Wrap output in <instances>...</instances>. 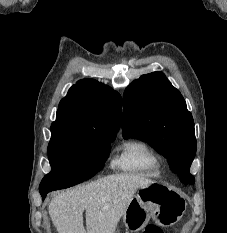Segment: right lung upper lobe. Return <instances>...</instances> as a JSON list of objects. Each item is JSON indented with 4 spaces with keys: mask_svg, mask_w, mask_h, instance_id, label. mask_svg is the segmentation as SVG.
Instances as JSON below:
<instances>
[{
    "mask_svg": "<svg viewBox=\"0 0 227 233\" xmlns=\"http://www.w3.org/2000/svg\"><path fill=\"white\" fill-rule=\"evenodd\" d=\"M121 123V96L93 79L79 80L59 104L52 135L103 137L117 133Z\"/></svg>",
    "mask_w": 227,
    "mask_h": 233,
    "instance_id": "right-lung-upper-lobe-1",
    "label": "right lung upper lobe"
}]
</instances>
